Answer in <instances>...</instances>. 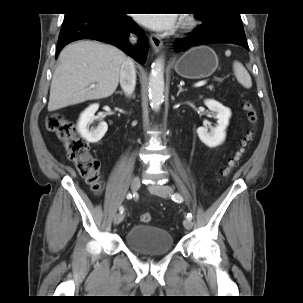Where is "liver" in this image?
Wrapping results in <instances>:
<instances>
[{
  "mask_svg": "<svg viewBox=\"0 0 303 303\" xmlns=\"http://www.w3.org/2000/svg\"><path fill=\"white\" fill-rule=\"evenodd\" d=\"M126 58L118 48L95 41L67 45L59 55L50 87L48 111L111 96ZM96 83V87L90 85Z\"/></svg>",
  "mask_w": 303,
  "mask_h": 303,
  "instance_id": "obj_1",
  "label": "liver"
}]
</instances>
